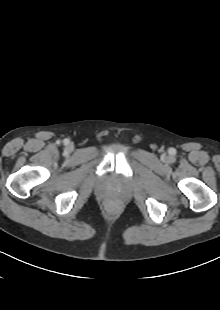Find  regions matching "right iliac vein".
I'll use <instances>...</instances> for the list:
<instances>
[{
    "label": "right iliac vein",
    "instance_id": "obj_1",
    "mask_svg": "<svg viewBox=\"0 0 220 310\" xmlns=\"http://www.w3.org/2000/svg\"><path fill=\"white\" fill-rule=\"evenodd\" d=\"M68 149H69V150H72V149H73V146H72V145H69V146H68Z\"/></svg>",
    "mask_w": 220,
    "mask_h": 310
}]
</instances>
